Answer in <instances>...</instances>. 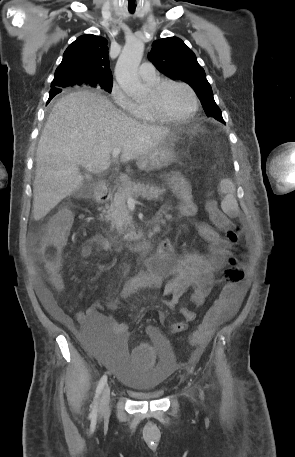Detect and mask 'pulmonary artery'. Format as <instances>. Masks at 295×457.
<instances>
[{"label":"pulmonary artery","mask_w":295,"mask_h":457,"mask_svg":"<svg viewBox=\"0 0 295 457\" xmlns=\"http://www.w3.org/2000/svg\"><path fill=\"white\" fill-rule=\"evenodd\" d=\"M139 76L147 82H155L158 79L155 67L150 62H144L139 68Z\"/></svg>","instance_id":"pulmonary-artery-1"}]
</instances>
